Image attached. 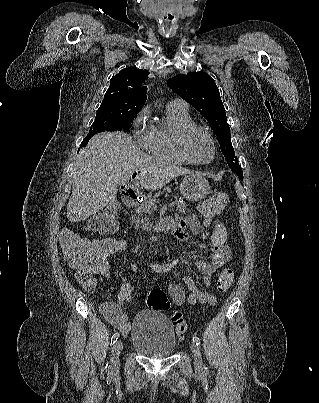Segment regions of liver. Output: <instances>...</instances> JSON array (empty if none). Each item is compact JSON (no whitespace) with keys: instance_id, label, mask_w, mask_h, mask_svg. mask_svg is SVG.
<instances>
[{"instance_id":"1","label":"liver","mask_w":319,"mask_h":403,"mask_svg":"<svg viewBox=\"0 0 319 403\" xmlns=\"http://www.w3.org/2000/svg\"><path fill=\"white\" fill-rule=\"evenodd\" d=\"M134 173L139 174L142 187L154 191L192 172L151 158L125 132L98 133L76 158L72 194L67 204L68 220L84 221L114 203L118 187L125 185Z\"/></svg>"}]
</instances>
